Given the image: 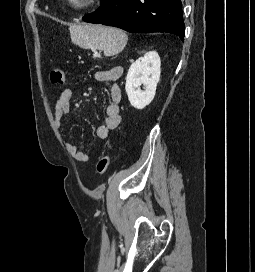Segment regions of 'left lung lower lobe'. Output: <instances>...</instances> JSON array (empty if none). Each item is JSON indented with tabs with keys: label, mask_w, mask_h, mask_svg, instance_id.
<instances>
[{
	"label": "left lung lower lobe",
	"mask_w": 255,
	"mask_h": 272,
	"mask_svg": "<svg viewBox=\"0 0 255 272\" xmlns=\"http://www.w3.org/2000/svg\"><path fill=\"white\" fill-rule=\"evenodd\" d=\"M83 20L131 33H173L184 41L181 0H103L101 7Z\"/></svg>",
	"instance_id": "0a47b994"
}]
</instances>
